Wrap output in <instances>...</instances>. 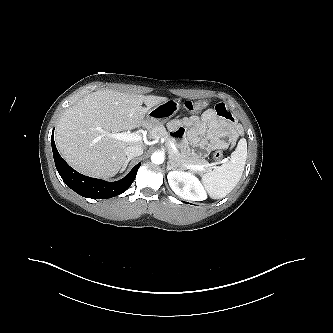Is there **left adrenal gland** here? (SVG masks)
<instances>
[{
    "instance_id": "left-adrenal-gland-1",
    "label": "left adrenal gland",
    "mask_w": 333,
    "mask_h": 333,
    "mask_svg": "<svg viewBox=\"0 0 333 333\" xmlns=\"http://www.w3.org/2000/svg\"><path fill=\"white\" fill-rule=\"evenodd\" d=\"M174 169V166L170 164V162H168L167 164V171Z\"/></svg>"
}]
</instances>
